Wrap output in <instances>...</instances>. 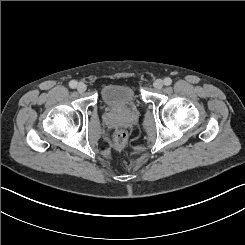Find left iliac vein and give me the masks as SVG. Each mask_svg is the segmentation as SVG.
Returning a JSON list of instances; mask_svg holds the SVG:
<instances>
[{"label": "left iliac vein", "mask_w": 245, "mask_h": 245, "mask_svg": "<svg viewBox=\"0 0 245 245\" xmlns=\"http://www.w3.org/2000/svg\"><path fill=\"white\" fill-rule=\"evenodd\" d=\"M153 85L156 89H161L164 84H163V81L161 79H157L154 81Z\"/></svg>", "instance_id": "obj_1"}]
</instances>
